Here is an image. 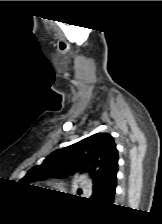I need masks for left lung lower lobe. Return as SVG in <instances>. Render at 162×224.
I'll list each match as a JSON object with an SVG mask.
<instances>
[{
    "mask_svg": "<svg viewBox=\"0 0 162 224\" xmlns=\"http://www.w3.org/2000/svg\"><path fill=\"white\" fill-rule=\"evenodd\" d=\"M117 171L118 170L109 175L101 185L94 187L92 195L94 200L107 204L113 203L116 189Z\"/></svg>",
    "mask_w": 162,
    "mask_h": 224,
    "instance_id": "obj_1",
    "label": "left lung lower lobe"
}]
</instances>
